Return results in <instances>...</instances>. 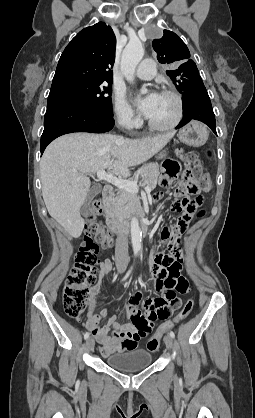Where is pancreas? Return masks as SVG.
Segmentation results:
<instances>
[{
  "instance_id": "pancreas-1",
  "label": "pancreas",
  "mask_w": 255,
  "mask_h": 418,
  "mask_svg": "<svg viewBox=\"0 0 255 418\" xmlns=\"http://www.w3.org/2000/svg\"><path fill=\"white\" fill-rule=\"evenodd\" d=\"M142 177L140 183L143 186H149L151 190L156 188L158 176H159V165L157 163H148L143 165L132 181H137L138 177ZM141 203L139 197L135 193L128 192L124 189H120L116 197L112 200V209L118 216L127 217L130 214L139 211Z\"/></svg>"
}]
</instances>
